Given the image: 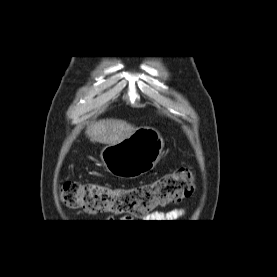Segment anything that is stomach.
<instances>
[{"label":"stomach","mask_w":277,"mask_h":277,"mask_svg":"<svg viewBox=\"0 0 277 277\" xmlns=\"http://www.w3.org/2000/svg\"><path fill=\"white\" fill-rule=\"evenodd\" d=\"M163 148L164 141L160 132L152 127H143L121 142L104 147L100 157L109 173L133 179L156 166Z\"/></svg>","instance_id":"1"}]
</instances>
